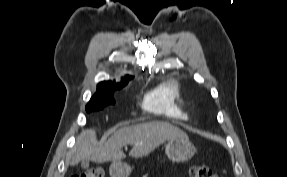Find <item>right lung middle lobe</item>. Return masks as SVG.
Returning <instances> with one entry per match:
<instances>
[{
	"label": "right lung middle lobe",
	"instance_id": "dd1d6c3e",
	"mask_svg": "<svg viewBox=\"0 0 287 177\" xmlns=\"http://www.w3.org/2000/svg\"><path fill=\"white\" fill-rule=\"evenodd\" d=\"M126 84L115 87H101L98 86L97 92L93 95L89 103L86 105V111L91 112L93 110L103 109L108 104H114L113 97L114 91L123 88Z\"/></svg>",
	"mask_w": 287,
	"mask_h": 177
}]
</instances>
